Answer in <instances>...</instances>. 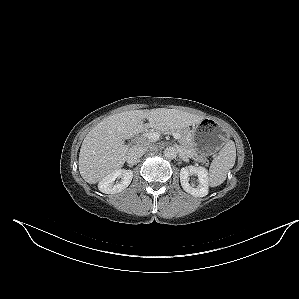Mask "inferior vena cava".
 Segmentation results:
<instances>
[{"mask_svg": "<svg viewBox=\"0 0 299 299\" xmlns=\"http://www.w3.org/2000/svg\"><path fill=\"white\" fill-rule=\"evenodd\" d=\"M148 147L135 145L132 146L128 151V159L130 162H137L147 151Z\"/></svg>", "mask_w": 299, "mask_h": 299, "instance_id": "1", "label": "inferior vena cava"}]
</instances>
